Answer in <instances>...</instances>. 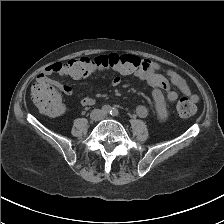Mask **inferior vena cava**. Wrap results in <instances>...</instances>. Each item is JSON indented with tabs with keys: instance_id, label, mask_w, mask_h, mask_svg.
I'll return each mask as SVG.
<instances>
[{
	"instance_id": "602c4592",
	"label": "inferior vena cava",
	"mask_w": 224,
	"mask_h": 224,
	"mask_svg": "<svg viewBox=\"0 0 224 224\" xmlns=\"http://www.w3.org/2000/svg\"><path fill=\"white\" fill-rule=\"evenodd\" d=\"M94 111H97L98 112V114L96 116H93L92 115V117L94 118V120H100V119H102V118L105 117V114L101 110L94 109L92 112H94Z\"/></svg>"
}]
</instances>
